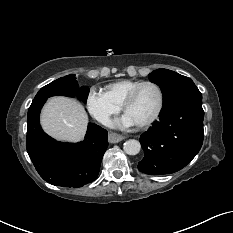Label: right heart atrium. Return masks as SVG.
Instances as JSON below:
<instances>
[{
	"label": "right heart atrium",
	"instance_id": "1",
	"mask_svg": "<svg viewBox=\"0 0 233 233\" xmlns=\"http://www.w3.org/2000/svg\"><path fill=\"white\" fill-rule=\"evenodd\" d=\"M86 106L89 113L100 123L107 124L113 115L121 110L110 97L96 88H91L86 97Z\"/></svg>",
	"mask_w": 233,
	"mask_h": 233
}]
</instances>
